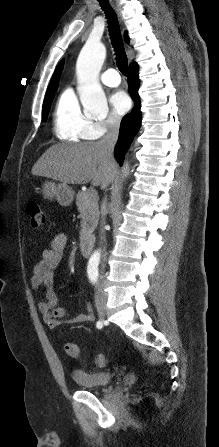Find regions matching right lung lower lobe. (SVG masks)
I'll return each mask as SVG.
<instances>
[{
	"mask_svg": "<svg viewBox=\"0 0 219 447\" xmlns=\"http://www.w3.org/2000/svg\"><path fill=\"white\" fill-rule=\"evenodd\" d=\"M137 70V64L134 62L131 63L128 68V91L135 102V107L123 117L120 124L119 138L114 150L115 157L120 165H122L127 148L130 146L141 125V104L138 95L139 78Z\"/></svg>",
	"mask_w": 219,
	"mask_h": 447,
	"instance_id": "right-lung-lower-lobe-1",
	"label": "right lung lower lobe"
}]
</instances>
